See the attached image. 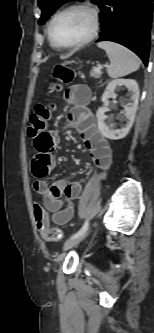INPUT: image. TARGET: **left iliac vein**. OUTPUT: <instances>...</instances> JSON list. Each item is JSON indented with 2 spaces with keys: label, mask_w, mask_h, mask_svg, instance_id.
Returning a JSON list of instances; mask_svg holds the SVG:
<instances>
[{
  "label": "left iliac vein",
  "mask_w": 154,
  "mask_h": 333,
  "mask_svg": "<svg viewBox=\"0 0 154 333\" xmlns=\"http://www.w3.org/2000/svg\"><path fill=\"white\" fill-rule=\"evenodd\" d=\"M90 232V228H88L83 234H81L80 236L76 237V238H72L70 240H68L64 246H63V250L66 251L72 247H74L75 245H77L79 242H81L83 239L86 238V236L89 234Z\"/></svg>",
  "instance_id": "left-iliac-vein-1"
}]
</instances>
